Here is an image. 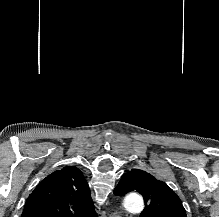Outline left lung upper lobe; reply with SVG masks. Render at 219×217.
I'll use <instances>...</instances> for the list:
<instances>
[{
	"label": "left lung upper lobe",
	"mask_w": 219,
	"mask_h": 217,
	"mask_svg": "<svg viewBox=\"0 0 219 217\" xmlns=\"http://www.w3.org/2000/svg\"><path fill=\"white\" fill-rule=\"evenodd\" d=\"M131 191L139 192L145 200L146 205L140 217H186L177 194L146 171L132 169L125 173L114 194L122 196Z\"/></svg>",
	"instance_id": "5c2ea615"
}]
</instances>
